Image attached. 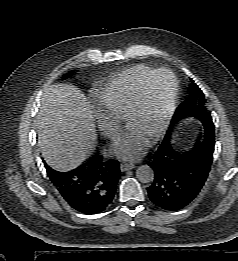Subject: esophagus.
Here are the masks:
<instances>
[{
  "mask_svg": "<svg viewBox=\"0 0 238 261\" xmlns=\"http://www.w3.org/2000/svg\"><path fill=\"white\" fill-rule=\"evenodd\" d=\"M134 167H135V165L132 163H121L120 164L121 171H128V170L133 169Z\"/></svg>",
  "mask_w": 238,
  "mask_h": 261,
  "instance_id": "34e87169",
  "label": "esophagus"
}]
</instances>
